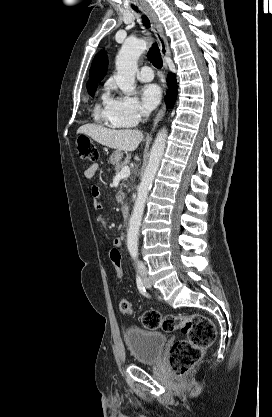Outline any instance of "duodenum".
<instances>
[{"label":"duodenum","instance_id":"duodenum-1","mask_svg":"<svg viewBox=\"0 0 272 417\" xmlns=\"http://www.w3.org/2000/svg\"><path fill=\"white\" fill-rule=\"evenodd\" d=\"M121 212L124 217H127L129 214V206L127 204H122Z\"/></svg>","mask_w":272,"mask_h":417}]
</instances>
